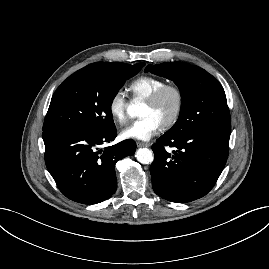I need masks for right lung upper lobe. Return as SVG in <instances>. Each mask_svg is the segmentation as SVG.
I'll use <instances>...</instances> for the list:
<instances>
[{"label":"right lung upper lobe","instance_id":"1","mask_svg":"<svg viewBox=\"0 0 269 269\" xmlns=\"http://www.w3.org/2000/svg\"><path fill=\"white\" fill-rule=\"evenodd\" d=\"M93 64H102V65H114V66H117V65H123L125 63H120V62H112V63L111 62H96V63H93ZM139 65L144 66L145 64L144 63H139Z\"/></svg>","mask_w":269,"mask_h":269}]
</instances>
